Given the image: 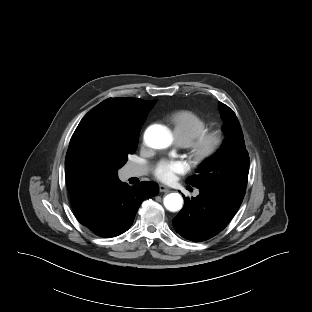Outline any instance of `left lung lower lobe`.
<instances>
[{
    "mask_svg": "<svg viewBox=\"0 0 312 312\" xmlns=\"http://www.w3.org/2000/svg\"><path fill=\"white\" fill-rule=\"evenodd\" d=\"M200 194L185 198L183 209L173 219L174 229L187 240L201 242L221 232L240 205L226 194L210 188H198Z\"/></svg>",
    "mask_w": 312,
    "mask_h": 312,
    "instance_id": "1",
    "label": "left lung lower lobe"
}]
</instances>
